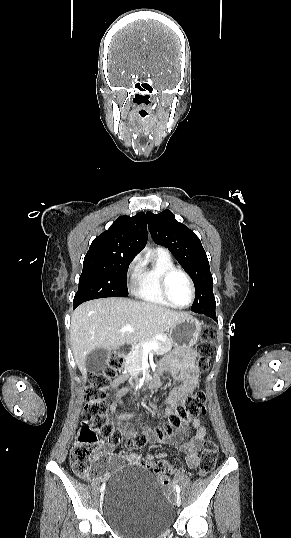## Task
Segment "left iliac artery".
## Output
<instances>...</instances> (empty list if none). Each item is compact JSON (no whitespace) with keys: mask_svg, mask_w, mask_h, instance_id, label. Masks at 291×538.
<instances>
[{"mask_svg":"<svg viewBox=\"0 0 291 538\" xmlns=\"http://www.w3.org/2000/svg\"><path fill=\"white\" fill-rule=\"evenodd\" d=\"M175 489H176V492L179 494L180 493V487L177 484L175 485Z\"/></svg>","mask_w":291,"mask_h":538,"instance_id":"obj_1","label":"left iliac artery"}]
</instances>
